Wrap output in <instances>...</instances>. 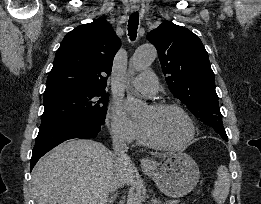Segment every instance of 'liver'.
I'll list each match as a JSON object with an SVG mask.
<instances>
[{"label": "liver", "instance_id": "liver-1", "mask_svg": "<svg viewBox=\"0 0 261 204\" xmlns=\"http://www.w3.org/2000/svg\"><path fill=\"white\" fill-rule=\"evenodd\" d=\"M135 173L130 160L121 170L123 184H131ZM113 174V153L106 146L71 139L38 161L33 193L37 204H107Z\"/></svg>", "mask_w": 261, "mask_h": 204}]
</instances>
